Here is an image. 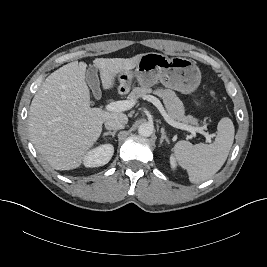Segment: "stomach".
Wrapping results in <instances>:
<instances>
[{"mask_svg": "<svg viewBox=\"0 0 267 267\" xmlns=\"http://www.w3.org/2000/svg\"><path fill=\"white\" fill-rule=\"evenodd\" d=\"M134 77L142 87L149 88L161 82L165 87L191 93L200 84L201 72L191 59L169 58L164 54L149 52L140 55L134 72L123 71L118 75L120 89L128 92Z\"/></svg>", "mask_w": 267, "mask_h": 267, "instance_id": "stomach-1", "label": "stomach"}]
</instances>
